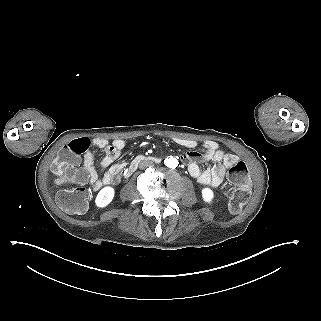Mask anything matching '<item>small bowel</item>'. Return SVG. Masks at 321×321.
I'll return each mask as SVG.
<instances>
[{
    "mask_svg": "<svg viewBox=\"0 0 321 321\" xmlns=\"http://www.w3.org/2000/svg\"><path fill=\"white\" fill-rule=\"evenodd\" d=\"M171 140L178 145L184 146L189 151L181 155V160L187 164L189 174L200 184L212 187L219 186L224 181L225 171L228 167L238 161V157L234 154L227 153L219 148L214 141H206L203 144L201 152L193 150L197 146V142L192 139L172 137ZM92 144L104 152V158L101 161L103 174L99 177L94 164V155L88 151L84 156V168L88 173L89 184L93 190L98 191L103 186L117 182L125 168L126 163H114L121 155L125 148V141L122 139H114L111 142L104 138H95ZM211 161L213 166L208 169H201L198 162Z\"/></svg>",
    "mask_w": 321,
    "mask_h": 321,
    "instance_id": "c3829d8e",
    "label": "small bowel"
}]
</instances>
